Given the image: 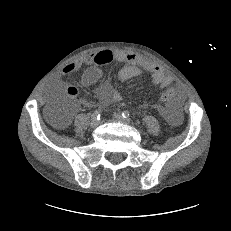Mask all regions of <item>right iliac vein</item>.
Segmentation results:
<instances>
[{
  "mask_svg": "<svg viewBox=\"0 0 231 231\" xmlns=\"http://www.w3.org/2000/svg\"><path fill=\"white\" fill-rule=\"evenodd\" d=\"M99 125V121L97 120V119H93L92 121H91V123H90V126L92 127V128H95V127H97Z\"/></svg>",
  "mask_w": 231,
  "mask_h": 231,
  "instance_id": "63e3f726",
  "label": "right iliac vein"
}]
</instances>
